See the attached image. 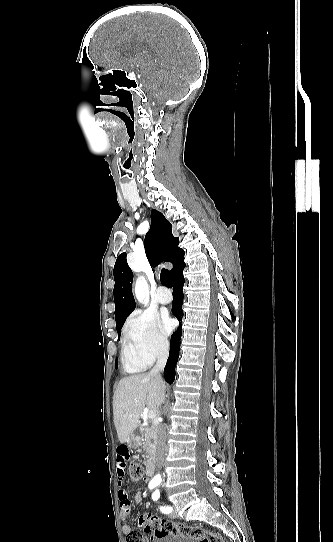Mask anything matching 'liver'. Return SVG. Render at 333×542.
<instances>
[{"label":"liver","mask_w":333,"mask_h":542,"mask_svg":"<svg viewBox=\"0 0 333 542\" xmlns=\"http://www.w3.org/2000/svg\"><path fill=\"white\" fill-rule=\"evenodd\" d=\"M165 388L163 380L149 374H135L120 380L113 398L114 424L120 444L127 442L136 430L145 406L157 414L158 400Z\"/></svg>","instance_id":"6515ba94"}]
</instances>
